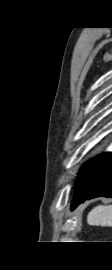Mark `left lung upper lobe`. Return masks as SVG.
<instances>
[{
	"label": "left lung upper lobe",
	"mask_w": 112,
	"mask_h": 270,
	"mask_svg": "<svg viewBox=\"0 0 112 270\" xmlns=\"http://www.w3.org/2000/svg\"><path fill=\"white\" fill-rule=\"evenodd\" d=\"M107 153L101 154L93 159H91L90 161H88L86 164H84L79 173H83L86 169H88L89 167H91L93 164H95L97 161H99L103 156H105Z\"/></svg>",
	"instance_id": "5c2ea615"
}]
</instances>
